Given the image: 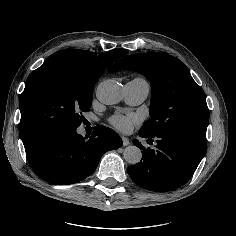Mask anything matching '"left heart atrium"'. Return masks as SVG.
<instances>
[{"label":"left heart atrium","mask_w":236,"mask_h":236,"mask_svg":"<svg viewBox=\"0 0 236 236\" xmlns=\"http://www.w3.org/2000/svg\"><path fill=\"white\" fill-rule=\"evenodd\" d=\"M139 120L135 114L128 115H116L112 117L111 123L113 126L121 132L128 133L132 129V125Z\"/></svg>","instance_id":"obj_1"}]
</instances>
